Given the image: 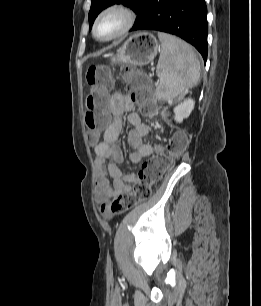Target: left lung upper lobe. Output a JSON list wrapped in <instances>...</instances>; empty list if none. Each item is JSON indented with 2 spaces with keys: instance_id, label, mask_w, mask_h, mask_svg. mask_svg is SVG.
I'll return each instance as SVG.
<instances>
[{
  "instance_id": "5c2ea615",
  "label": "left lung upper lobe",
  "mask_w": 261,
  "mask_h": 306,
  "mask_svg": "<svg viewBox=\"0 0 261 306\" xmlns=\"http://www.w3.org/2000/svg\"><path fill=\"white\" fill-rule=\"evenodd\" d=\"M146 0H91V8L89 11L90 28L97 15L105 8L112 4H123L130 7L135 13H139Z\"/></svg>"
}]
</instances>
